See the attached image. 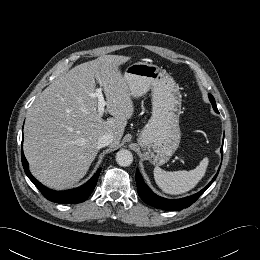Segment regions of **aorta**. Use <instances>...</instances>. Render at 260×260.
Here are the masks:
<instances>
[{
	"label": "aorta",
	"instance_id": "762f6f07",
	"mask_svg": "<svg viewBox=\"0 0 260 260\" xmlns=\"http://www.w3.org/2000/svg\"><path fill=\"white\" fill-rule=\"evenodd\" d=\"M116 162L118 165L127 167L133 162V155L127 149H121L116 153Z\"/></svg>",
	"mask_w": 260,
	"mask_h": 260
}]
</instances>
